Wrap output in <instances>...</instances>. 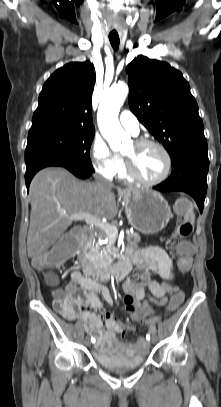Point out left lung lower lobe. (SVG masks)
I'll return each mask as SVG.
<instances>
[{
    "mask_svg": "<svg viewBox=\"0 0 221 407\" xmlns=\"http://www.w3.org/2000/svg\"><path fill=\"white\" fill-rule=\"evenodd\" d=\"M207 151V147H199L184 152L172 164L170 177L153 188L161 192H186L195 199L200 212H202L207 191L209 168Z\"/></svg>",
    "mask_w": 221,
    "mask_h": 407,
    "instance_id": "obj_1",
    "label": "left lung lower lobe"
}]
</instances>
